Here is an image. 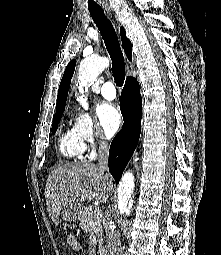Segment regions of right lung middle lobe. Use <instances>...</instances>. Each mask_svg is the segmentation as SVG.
Wrapping results in <instances>:
<instances>
[{"instance_id": "right-lung-middle-lobe-1", "label": "right lung middle lobe", "mask_w": 221, "mask_h": 255, "mask_svg": "<svg viewBox=\"0 0 221 255\" xmlns=\"http://www.w3.org/2000/svg\"><path fill=\"white\" fill-rule=\"evenodd\" d=\"M63 111L57 112L53 117V124H52V133L56 132L58 128V123L62 117Z\"/></svg>"}]
</instances>
